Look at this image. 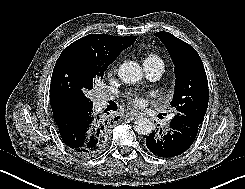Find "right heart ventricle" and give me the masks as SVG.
<instances>
[{
	"mask_svg": "<svg viewBox=\"0 0 245 189\" xmlns=\"http://www.w3.org/2000/svg\"><path fill=\"white\" fill-rule=\"evenodd\" d=\"M143 64H149V65H163L164 62L162 58L156 54V53H146L143 57Z\"/></svg>",
	"mask_w": 245,
	"mask_h": 189,
	"instance_id": "right-heart-ventricle-1",
	"label": "right heart ventricle"
}]
</instances>
